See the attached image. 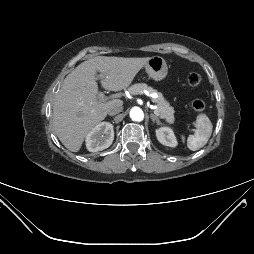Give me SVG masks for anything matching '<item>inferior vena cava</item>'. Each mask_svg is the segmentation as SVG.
<instances>
[{
	"label": "inferior vena cava",
	"mask_w": 254,
	"mask_h": 254,
	"mask_svg": "<svg viewBox=\"0 0 254 254\" xmlns=\"http://www.w3.org/2000/svg\"><path fill=\"white\" fill-rule=\"evenodd\" d=\"M122 110H123L122 105H113L108 109V114L110 116H113V115L120 113Z\"/></svg>",
	"instance_id": "602c4592"
}]
</instances>
